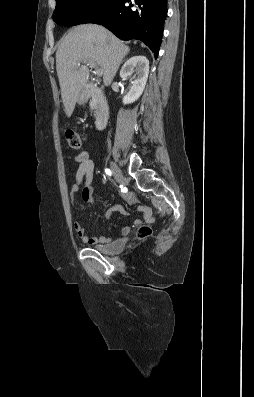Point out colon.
Returning <instances> with one entry per match:
<instances>
[{
	"mask_svg": "<svg viewBox=\"0 0 254 397\" xmlns=\"http://www.w3.org/2000/svg\"><path fill=\"white\" fill-rule=\"evenodd\" d=\"M64 135L66 138V141L68 142L69 146L73 149V150H80L82 147V138L79 135V133H77L76 131L69 129V128H65L64 129ZM151 233V229L148 226H142L139 231H138V236L140 238H146L150 235Z\"/></svg>",
	"mask_w": 254,
	"mask_h": 397,
	"instance_id": "obj_1",
	"label": "colon"
}]
</instances>
